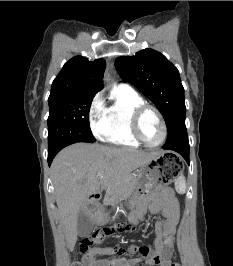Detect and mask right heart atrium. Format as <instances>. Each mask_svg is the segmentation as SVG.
<instances>
[{"label":"right heart atrium","mask_w":233,"mask_h":266,"mask_svg":"<svg viewBox=\"0 0 233 266\" xmlns=\"http://www.w3.org/2000/svg\"><path fill=\"white\" fill-rule=\"evenodd\" d=\"M89 125L92 133L102 138L106 132L105 105L101 94H96L89 108Z\"/></svg>","instance_id":"d8ad5b80"}]
</instances>
